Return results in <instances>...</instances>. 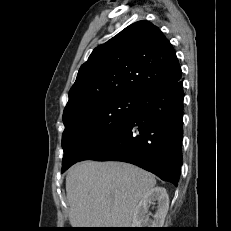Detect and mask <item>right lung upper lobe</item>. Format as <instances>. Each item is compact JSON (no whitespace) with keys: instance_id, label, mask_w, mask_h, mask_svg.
Returning a JSON list of instances; mask_svg holds the SVG:
<instances>
[{"instance_id":"cb5924a9","label":"right lung upper lobe","mask_w":231,"mask_h":231,"mask_svg":"<svg viewBox=\"0 0 231 231\" xmlns=\"http://www.w3.org/2000/svg\"><path fill=\"white\" fill-rule=\"evenodd\" d=\"M181 76L169 40L149 21H138L93 50L79 69L63 115L119 96L137 97Z\"/></svg>"}]
</instances>
